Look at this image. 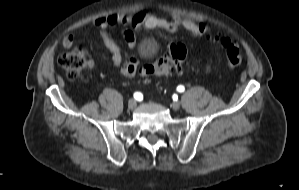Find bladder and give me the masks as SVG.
<instances>
[{
  "instance_id": "obj_1",
  "label": "bladder",
  "mask_w": 299,
  "mask_h": 190,
  "mask_svg": "<svg viewBox=\"0 0 299 190\" xmlns=\"http://www.w3.org/2000/svg\"><path fill=\"white\" fill-rule=\"evenodd\" d=\"M155 44L151 40H145L142 42L139 53L140 56L143 58H151L153 54L155 53Z\"/></svg>"
}]
</instances>
